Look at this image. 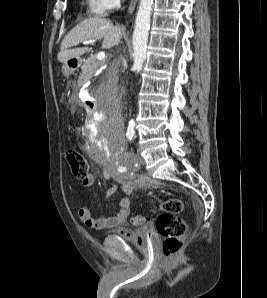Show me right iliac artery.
Segmentation results:
<instances>
[{
  "instance_id": "82829eb1",
  "label": "right iliac artery",
  "mask_w": 267,
  "mask_h": 298,
  "mask_svg": "<svg viewBox=\"0 0 267 298\" xmlns=\"http://www.w3.org/2000/svg\"><path fill=\"white\" fill-rule=\"evenodd\" d=\"M132 138H133V136H128V139H129V140H132Z\"/></svg>"
}]
</instances>
